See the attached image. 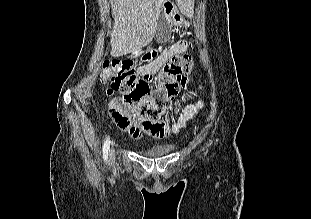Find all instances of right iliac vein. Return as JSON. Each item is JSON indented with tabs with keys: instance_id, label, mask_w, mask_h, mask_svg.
Here are the masks:
<instances>
[{
	"instance_id": "right-iliac-vein-1",
	"label": "right iliac vein",
	"mask_w": 311,
	"mask_h": 219,
	"mask_svg": "<svg viewBox=\"0 0 311 219\" xmlns=\"http://www.w3.org/2000/svg\"><path fill=\"white\" fill-rule=\"evenodd\" d=\"M115 159V151L114 149L112 148L111 152H110V161L113 162Z\"/></svg>"
}]
</instances>
